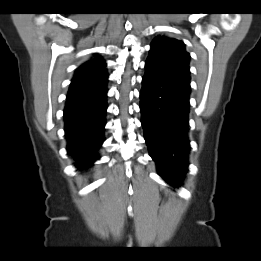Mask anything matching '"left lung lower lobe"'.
I'll use <instances>...</instances> for the list:
<instances>
[{
    "mask_svg": "<svg viewBox=\"0 0 261 261\" xmlns=\"http://www.w3.org/2000/svg\"><path fill=\"white\" fill-rule=\"evenodd\" d=\"M190 92L189 76L145 62L140 92L144 137L159 175L174 186L188 168Z\"/></svg>",
    "mask_w": 261,
    "mask_h": 261,
    "instance_id": "1",
    "label": "left lung lower lobe"
}]
</instances>
